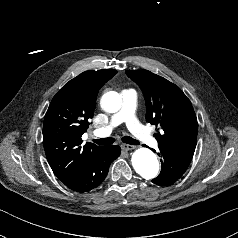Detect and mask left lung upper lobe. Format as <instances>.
Masks as SVG:
<instances>
[{"mask_svg": "<svg viewBox=\"0 0 238 238\" xmlns=\"http://www.w3.org/2000/svg\"><path fill=\"white\" fill-rule=\"evenodd\" d=\"M127 75L143 91L147 122L159 124L163 130L155 135L158 147L193 155L198 123L192 104L183 91L147 70H127Z\"/></svg>", "mask_w": 238, "mask_h": 238, "instance_id": "5c2ea615", "label": "left lung upper lobe"}]
</instances>
